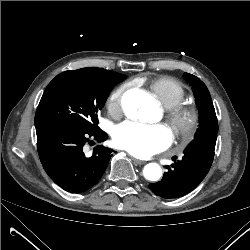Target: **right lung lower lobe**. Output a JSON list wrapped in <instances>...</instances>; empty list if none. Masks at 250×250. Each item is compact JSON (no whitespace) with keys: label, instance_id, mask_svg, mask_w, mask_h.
Masks as SVG:
<instances>
[{"label":"right lung lower lobe","instance_id":"obj_1","mask_svg":"<svg viewBox=\"0 0 250 250\" xmlns=\"http://www.w3.org/2000/svg\"><path fill=\"white\" fill-rule=\"evenodd\" d=\"M37 150L41 163L63 189L81 193L95 185L105 172L113 150L98 146L91 157H86V143L105 141L107 134L99 130L65 124L39 123L36 125Z\"/></svg>","mask_w":250,"mask_h":250}]
</instances>
